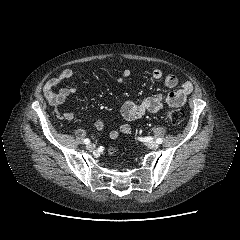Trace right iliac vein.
I'll list each match as a JSON object with an SVG mask.
<instances>
[{"label": "right iliac vein", "mask_w": 240, "mask_h": 240, "mask_svg": "<svg viewBox=\"0 0 240 240\" xmlns=\"http://www.w3.org/2000/svg\"><path fill=\"white\" fill-rule=\"evenodd\" d=\"M86 148H87L88 150H93V149H95V145H94L93 143H88V144L86 145Z\"/></svg>", "instance_id": "right-iliac-vein-1"}]
</instances>
